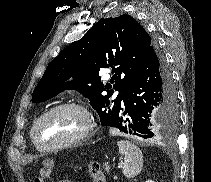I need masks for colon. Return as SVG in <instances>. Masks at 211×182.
Listing matches in <instances>:
<instances>
[{
    "label": "colon",
    "instance_id": "5ec220e1",
    "mask_svg": "<svg viewBox=\"0 0 211 182\" xmlns=\"http://www.w3.org/2000/svg\"><path fill=\"white\" fill-rule=\"evenodd\" d=\"M53 168V165L47 164L42 169L41 173L35 178L34 182H45L50 176ZM87 168L93 182H106V177L98 162H89Z\"/></svg>",
    "mask_w": 211,
    "mask_h": 182
}]
</instances>
